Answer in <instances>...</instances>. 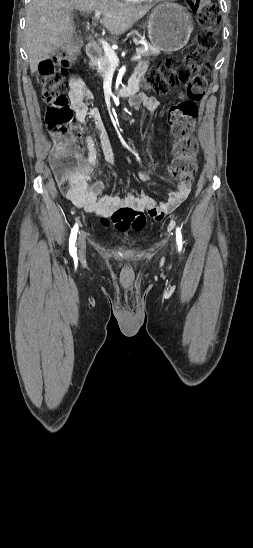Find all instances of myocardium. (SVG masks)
I'll return each instance as SVG.
<instances>
[{
	"label": "myocardium",
	"instance_id": "1",
	"mask_svg": "<svg viewBox=\"0 0 253 548\" xmlns=\"http://www.w3.org/2000/svg\"><path fill=\"white\" fill-rule=\"evenodd\" d=\"M149 1H156V2H159V1H166V0H149Z\"/></svg>",
	"mask_w": 253,
	"mask_h": 548
}]
</instances>
